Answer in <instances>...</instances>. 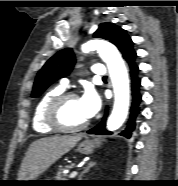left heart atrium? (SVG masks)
I'll return each mask as SVG.
<instances>
[{"mask_svg": "<svg viewBox=\"0 0 178 186\" xmlns=\"http://www.w3.org/2000/svg\"><path fill=\"white\" fill-rule=\"evenodd\" d=\"M79 100L84 114L88 119L95 116L100 110L101 99L98 93L92 88H87Z\"/></svg>", "mask_w": 178, "mask_h": 186, "instance_id": "obj_1", "label": "left heart atrium"}]
</instances>
